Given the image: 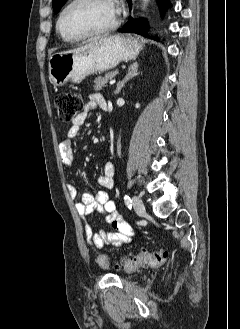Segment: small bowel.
<instances>
[{"label": "small bowel", "instance_id": "1", "mask_svg": "<svg viewBox=\"0 0 240 329\" xmlns=\"http://www.w3.org/2000/svg\"><path fill=\"white\" fill-rule=\"evenodd\" d=\"M108 105L103 96L99 93H93L89 96L85 103L83 111L74 119L72 126L67 131L66 137L59 143V152L62 163L70 167L76 160L73 149L72 140L75 138L80 129L86 123L89 114L96 108L104 110ZM115 166L111 162L103 165L102 172L97 178L98 184L105 189L114 187ZM68 189L72 198L77 196V191L73 185H68ZM75 208L81 218L85 219L93 212L106 215L107 223L115 230L113 232L98 229L94 230L89 223H85L84 231L87 243L96 248H103L106 245L121 246L129 243L134 235V231L130 224L118 212L114 201L110 200L106 191L101 190L96 193H83L81 201L75 204Z\"/></svg>", "mask_w": 240, "mask_h": 329}]
</instances>
